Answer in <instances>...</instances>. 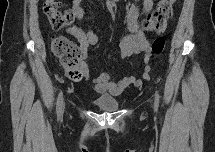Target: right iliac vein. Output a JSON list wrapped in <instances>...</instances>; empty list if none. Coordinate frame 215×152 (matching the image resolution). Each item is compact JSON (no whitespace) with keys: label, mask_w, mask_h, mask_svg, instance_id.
<instances>
[{"label":"right iliac vein","mask_w":215,"mask_h":152,"mask_svg":"<svg viewBox=\"0 0 215 152\" xmlns=\"http://www.w3.org/2000/svg\"><path fill=\"white\" fill-rule=\"evenodd\" d=\"M64 107H65V104L62 106V115H63V109H64Z\"/></svg>","instance_id":"1"}]
</instances>
